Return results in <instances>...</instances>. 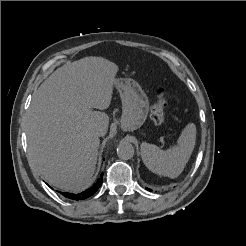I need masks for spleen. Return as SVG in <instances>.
<instances>
[{"label":"spleen","instance_id":"obj_1","mask_svg":"<svg viewBox=\"0 0 246 246\" xmlns=\"http://www.w3.org/2000/svg\"><path fill=\"white\" fill-rule=\"evenodd\" d=\"M196 141V126L189 123L178 138L177 145L163 151L156 145L143 142L141 155L145 166L155 174L176 178L184 170Z\"/></svg>","mask_w":246,"mask_h":246}]
</instances>
